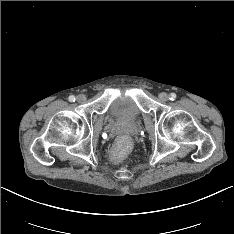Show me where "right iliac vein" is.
<instances>
[{"instance_id":"right-iliac-vein-1","label":"right iliac vein","mask_w":234,"mask_h":234,"mask_svg":"<svg viewBox=\"0 0 234 234\" xmlns=\"http://www.w3.org/2000/svg\"><path fill=\"white\" fill-rule=\"evenodd\" d=\"M85 100H86V96L85 95L80 94V95L77 96V101L79 103H83Z\"/></svg>"}]
</instances>
